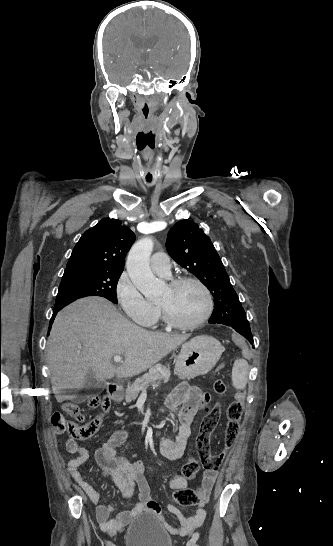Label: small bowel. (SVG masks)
<instances>
[{
	"label": "small bowel",
	"instance_id": "small-bowel-1",
	"mask_svg": "<svg viewBox=\"0 0 333 546\" xmlns=\"http://www.w3.org/2000/svg\"><path fill=\"white\" fill-rule=\"evenodd\" d=\"M232 339L234 340V346L240 349L241 354L244 355L243 359L248 361L251 349L245 345L243 334L240 331H235L232 334ZM220 368H223V365H220ZM211 371L215 374L218 370L214 367ZM210 378L213 380L215 377L212 375ZM201 396V389L197 385L182 384L164 398V404L169 410H175L178 406L182 405L179 413L180 426L177 437L174 440L161 437L158 441L159 449L166 458L176 460L185 452L188 439L192 433V423L201 402ZM78 419H83V415L79 416ZM126 437L127 433L124 430L115 432L96 449L93 456L89 454L86 448L80 446L77 441L67 439L65 442L66 451L76 456L67 461L68 471L94 504L96 519L100 528L106 534L114 535L121 532L136 516L144 512H150L172 534L184 536L194 532L205 521L206 511L203 508V503L207 500L213 488L217 472L205 471L203 473L202 489L205 500L199 503L192 516H184L179 509L172 505L162 508L151 498L150 488L143 474V465L141 463H133L128 458L117 454L119 447L128 450V445L125 443ZM93 460L102 467L105 478L124 497H131L135 490H137V502L132 509L123 511L114 518L110 517V513L113 510L112 507L104 505L101 502L100 492L83 479L80 471V468L84 464L90 463ZM152 472H155V470L152 469ZM186 484V478L178 474H175L170 479V486L172 488H184ZM168 513L177 517L180 523L179 527H173L168 523L166 519Z\"/></svg>",
	"mask_w": 333,
	"mask_h": 546
}]
</instances>
